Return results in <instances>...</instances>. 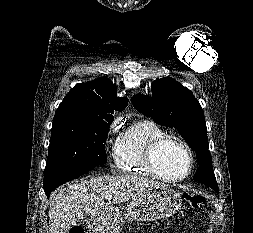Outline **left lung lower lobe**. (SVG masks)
Masks as SVG:
<instances>
[{"mask_svg":"<svg viewBox=\"0 0 253 233\" xmlns=\"http://www.w3.org/2000/svg\"><path fill=\"white\" fill-rule=\"evenodd\" d=\"M211 188L214 189L215 192L219 193L218 187H211Z\"/></svg>","mask_w":253,"mask_h":233,"instance_id":"obj_1","label":"left lung lower lobe"}]
</instances>
